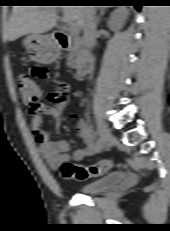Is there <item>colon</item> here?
Listing matches in <instances>:
<instances>
[{"instance_id": "obj_1", "label": "colon", "mask_w": 170, "mask_h": 231, "mask_svg": "<svg viewBox=\"0 0 170 231\" xmlns=\"http://www.w3.org/2000/svg\"><path fill=\"white\" fill-rule=\"evenodd\" d=\"M16 83L22 101L30 109H37L39 106L40 88L35 80L29 75L21 74ZM111 167V160H102L90 166L64 162L59 167V171L65 179L84 181L107 172Z\"/></svg>"}]
</instances>
